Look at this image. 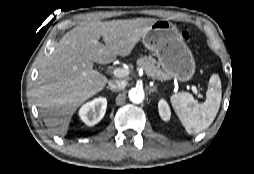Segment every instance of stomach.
<instances>
[{
  "label": "stomach",
  "mask_w": 254,
  "mask_h": 174,
  "mask_svg": "<svg viewBox=\"0 0 254 174\" xmlns=\"http://www.w3.org/2000/svg\"><path fill=\"white\" fill-rule=\"evenodd\" d=\"M142 42L156 55L159 65L170 77L181 82L192 79L196 63L175 24L166 19L157 20L150 25Z\"/></svg>",
  "instance_id": "stomach-1"
}]
</instances>
